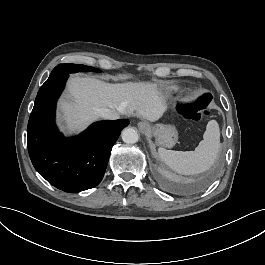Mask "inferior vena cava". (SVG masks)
Returning a JSON list of instances; mask_svg holds the SVG:
<instances>
[{"instance_id":"1","label":"inferior vena cava","mask_w":265,"mask_h":265,"mask_svg":"<svg viewBox=\"0 0 265 265\" xmlns=\"http://www.w3.org/2000/svg\"><path fill=\"white\" fill-rule=\"evenodd\" d=\"M98 113L101 118L108 120H116L119 118V114L117 112L108 108L100 109Z\"/></svg>"}]
</instances>
